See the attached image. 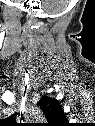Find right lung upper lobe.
<instances>
[{
	"mask_svg": "<svg viewBox=\"0 0 95 126\" xmlns=\"http://www.w3.org/2000/svg\"><path fill=\"white\" fill-rule=\"evenodd\" d=\"M37 105L40 106L45 115L49 126H65L67 125L66 114L60 103L49 96H42Z\"/></svg>",
	"mask_w": 95,
	"mask_h": 126,
	"instance_id": "obj_1",
	"label": "right lung upper lobe"
}]
</instances>
